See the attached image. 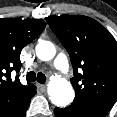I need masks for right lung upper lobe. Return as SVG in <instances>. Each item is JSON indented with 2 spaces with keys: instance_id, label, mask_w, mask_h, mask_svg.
<instances>
[{
  "instance_id": "cb5924a9",
  "label": "right lung upper lobe",
  "mask_w": 117,
  "mask_h": 117,
  "mask_svg": "<svg viewBox=\"0 0 117 117\" xmlns=\"http://www.w3.org/2000/svg\"><path fill=\"white\" fill-rule=\"evenodd\" d=\"M45 26L41 19H0V117L13 113L36 88L33 84L22 85L11 72L20 71L22 48L40 35Z\"/></svg>"
}]
</instances>
